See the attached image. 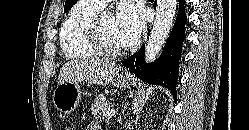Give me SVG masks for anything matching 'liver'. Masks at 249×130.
<instances>
[{
  "label": "liver",
  "instance_id": "liver-1",
  "mask_svg": "<svg viewBox=\"0 0 249 130\" xmlns=\"http://www.w3.org/2000/svg\"><path fill=\"white\" fill-rule=\"evenodd\" d=\"M120 71V66L100 59L73 60L61 68L58 85L65 82H88L105 85L112 82Z\"/></svg>",
  "mask_w": 249,
  "mask_h": 130
}]
</instances>
